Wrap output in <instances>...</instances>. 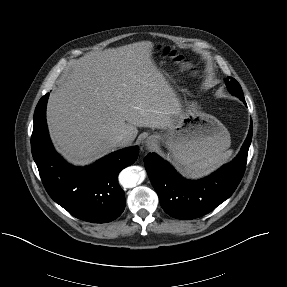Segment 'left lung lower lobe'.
Wrapping results in <instances>:
<instances>
[{
  "label": "left lung lower lobe",
  "mask_w": 287,
  "mask_h": 287,
  "mask_svg": "<svg viewBox=\"0 0 287 287\" xmlns=\"http://www.w3.org/2000/svg\"><path fill=\"white\" fill-rule=\"evenodd\" d=\"M241 100L246 104L245 99ZM252 133L251 121L248 136L237 157L198 181L182 178L170 164L155 153H149L144 160L145 168L164 211L174 218L190 220L209 213L228 199L244 174Z\"/></svg>",
  "instance_id": "obj_1"
}]
</instances>
